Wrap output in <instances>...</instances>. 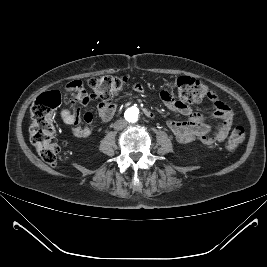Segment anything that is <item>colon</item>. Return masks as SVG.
Wrapping results in <instances>:
<instances>
[{
    "label": "colon",
    "instance_id": "5ec220e1",
    "mask_svg": "<svg viewBox=\"0 0 267 267\" xmlns=\"http://www.w3.org/2000/svg\"><path fill=\"white\" fill-rule=\"evenodd\" d=\"M127 76L105 75L92 77L87 81L91 89V97L106 103L120 94L128 84ZM169 86L174 89L184 103L213 100L216 94L202 81L188 76H181L172 81ZM61 97L58 91H48L41 94L32 104L30 125V140L40 158L47 164L57 162L61 147L55 137L53 115L59 106ZM245 139V129L236 127L230 134L226 148L234 149Z\"/></svg>",
    "mask_w": 267,
    "mask_h": 267
}]
</instances>
